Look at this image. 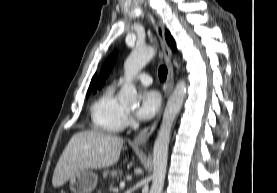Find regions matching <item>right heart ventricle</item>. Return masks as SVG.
I'll return each instance as SVG.
<instances>
[{"mask_svg": "<svg viewBox=\"0 0 277 193\" xmlns=\"http://www.w3.org/2000/svg\"><path fill=\"white\" fill-rule=\"evenodd\" d=\"M126 112L115 97V86H108L92 103L90 117L92 127L100 133L113 134L125 126Z\"/></svg>", "mask_w": 277, "mask_h": 193, "instance_id": "right-heart-ventricle-1", "label": "right heart ventricle"}]
</instances>
